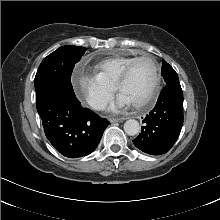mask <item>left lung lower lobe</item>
Wrapping results in <instances>:
<instances>
[{
  "label": "left lung lower lobe",
  "instance_id": "left-lung-lower-lobe-1",
  "mask_svg": "<svg viewBox=\"0 0 220 220\" xmlns=\"http://www.w3.org/2000/svg\"><path fill=\"white\" fill-rule=\"evenodd\" d=\"M143 122L141 133L133 140L134 145L151 155L167 153L183 125V92L179 82L162 89L155 107Z\"/></svg>",
  "mask_w": 220,
  "mask_h": 220
}]
</instances>
